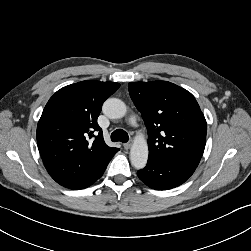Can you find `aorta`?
<instances>
[{"mask_svg": "<svg viewBox=\"0 0 251 251\" xmlns=\"http://www.w3.org/2000/svg\"><path fill=\"white\" fill-rule=\"evenodd\" d=\"M103 113L111 119H119L126 115L127 107L125 103L118 98H109L103 104ZM148 160V145L144 138H138L134 141L130 150V161L136 169H142L146 166Z\"/></svg>", "mask_w": 251, "mask_h": 251, "instance_id": "762f6f07", "label": "aorta"}]
</instances>
